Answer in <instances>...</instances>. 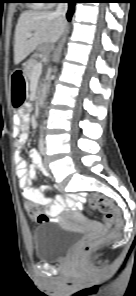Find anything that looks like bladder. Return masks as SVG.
Wrapping results in <instances>:
<instances>
[{"mask_svg":"<svg viewBox=\"0 0 136 296\" xmlns=\"http://www.w3.org/2000/svg\"><path fill=\"white\" fill-rule=\"evenodd\" d=\"M78 231L58 223H43L32 232L34 255L41 262H55L64 257L77 242Z\"/></svg>","mask_w":136,"mask_h":296,"instance_id":"bladder-1","label":"bladder"}]
</instances>
